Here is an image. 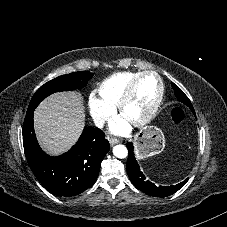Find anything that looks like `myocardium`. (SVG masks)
I'll return each mask as SVG.
<instances>
[{"mask_svg":"<svg viewBox=\"0 0 227 227\" xmlns=\"http://www.w3.org/2000/svg\"><path fill=\"white\" fill-rule=\"evenodd\" d=\"M147 75H151L154 78H156V80L158 82V92H157V95H156L153 103L151 104L150 108L146 112V114L132 122V124L136 127H142V126L146 125L147 123H149L152 120V118L155 116L156 112L158 111V109L162 103L163 96H164V83H163L161 76L157 72L152 71V70H146V71L139 72L130 81L128 87L126 88L125 92L123 93L122 97L120 98L119 102L117 103V109H118L119 113L121 115H123L126 106L131 102V100L133 99V97L135 95V91H136L138 83L144 76H147Z\"/></svg>","mask_w":227,"mask_h":227,"instance_id":"obj_1","label":"myocardium"}]
</instances>
